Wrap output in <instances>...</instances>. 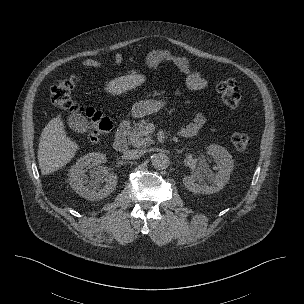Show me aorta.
Here are the masks:
<instances>
[{"instance_id":"1","label":"aorta","mask_w":304,"mask_h":304,"mask_svg":"<svg viewBox=\"0 0 304 304\" xmlns=\"http://www.w3.org/2000/svg\"><path fill=\"white\" fill-rule=\"evenodd\" d=\"M152 165L155 169L163 170L169 166V158L164 153H157L151 157Z\"/></svg>"}]
</instances>
